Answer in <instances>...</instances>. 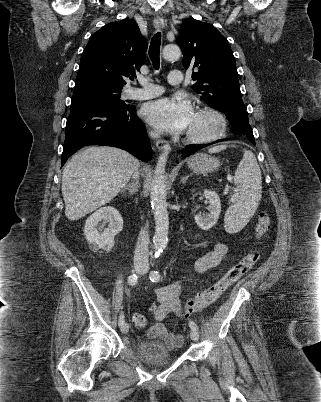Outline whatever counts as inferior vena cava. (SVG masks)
Segmentation results:
<instances>
[{
	"label": "inferior vena cava",
	"mask_w": 321,
	"mask_h": 402,
	"mask_svg": "<svg viewBox=\"0 0 321 402\" xmlns=\"http://www.w3.org/2000/svg\"><path fill=\"white\" fill-rule=\"evenodd\" d=\"M151 138L159 137V133L150 132ZM133 178L138 179L139 174L135 172ZM148 245H149V234L147 231V226L142 229L139 233L135 252H134V265L138 267H143L144 269H148L149 260H148Z\"/></svg>",
	"instance_id": "obj_1"
}]
</instances>
